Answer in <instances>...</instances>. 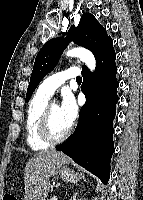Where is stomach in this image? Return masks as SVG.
<instances>
[{
    "mask_svg": "<svg viewBox=\"0 0 143 200\" xmlns=\"http://www.w3.org/2000/svg\"><path fill=\"white\" fill-rule=\"evenodd\" d=\"M59 175L62 180L68 181L71 183H76L80 179L84 178V176L82 174L76 173L74 170L68 168L67 166H63L59 170Z\"/></svg>",
    "mask_w": 143,
    "mask_h": 200,
    "instance_id": "1",
    "label": "stomach"
}]
</instances>
